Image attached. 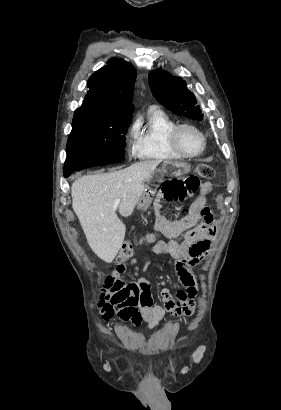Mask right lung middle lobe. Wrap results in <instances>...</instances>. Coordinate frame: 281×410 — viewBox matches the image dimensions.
Wrapping results in <instances>:
<instances>
[{"instance_id":"obj_1","label":"right lung middle lobe","mask_w":281,"mask_h":410,"mask_svg":"<svg viewBox=\"0 0 281 410\" xmlns=\"http://www.w3.org/2000/svg\"><path fill=\"white\" fill-rule=\"evenodd\" d=\"M131 116H113L76 109L67 142L64 173L119 162L125 157V136Z\"/></svg>"}]
</instances>
